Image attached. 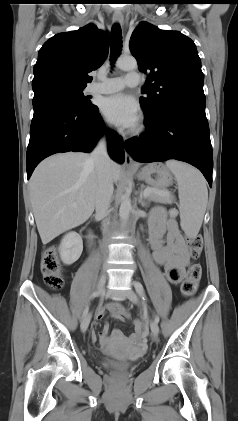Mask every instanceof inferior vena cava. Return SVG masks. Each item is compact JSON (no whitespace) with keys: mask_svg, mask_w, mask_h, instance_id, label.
<instances>
[{"mask_svg":"<svg viewBox=\"0 0 238 421\" xmlns=\"http://www.w3.org/2000/svg\"><path fill=\"white\" fill-rule=\"evenodd\" d=\"M90 162L95 165L97 173V194L95 201L96 215L106 217L113 194V180L110 169V158L107 152L106 139L102 138L90 155ZM103 222V230L106 228Z\"/></svg>","mask_w":238,"mask_h":421,"instance_id":"obj_1","label":"inferior vena cava"}]
</instances>
